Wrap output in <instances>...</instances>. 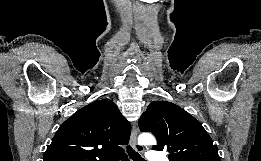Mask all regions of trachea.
Here are the masks:
<instances>
[{
  "label": "trachea",
  "mask_w": 261,
  "mask_h": 161,
  "mask_svg": "<svg viewBox=\"0 0 261 161\" xmlns=\"http://www.w3.org/2000/svg\"><path fill=\"white\" fill-rule=\"evenodd\" d=\"M127 153L133 161H146L138 152L133 150L130 146L127 147Z\"/></svg>",
  "instance_id": "3493384b"
}]
</instances>
